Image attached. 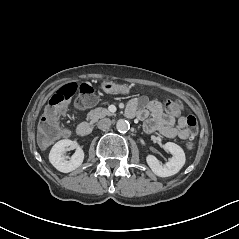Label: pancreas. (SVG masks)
<instances>
[{
	"instance_id": "obj_1",
	"label": "pancreas",
	"mask_w": 239,
	"mask_h": 239,
	"mask_svg": "<svg viewBox=\"0 0 239 239\" xmlns=\"http://www.w3.org/2000/svg\"><path fill=\"white\" fill-rule=\"evenodd\" d=\"M113 114L107 110L106 108L98 107L94 110H91L87 114V120L90 121L91 124L97 122L99 119L104 118L105 116H112Z\"/></svg>"
}]
</instances>
